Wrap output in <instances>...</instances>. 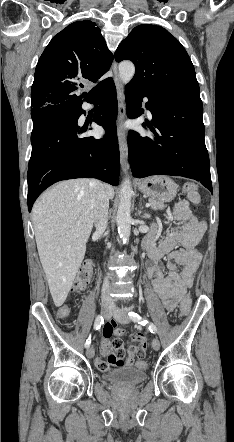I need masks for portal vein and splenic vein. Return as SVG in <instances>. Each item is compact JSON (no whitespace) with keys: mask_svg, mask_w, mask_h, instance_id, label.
<instances>
[{"mask_svg":"<svg viewBox=\"0 0 234 442\" xmlns=\"http://www.w3.org/2000/svg\"><path fill=\"white\" fill-rule=\"evenodd\" d=\"M149 206H150V203H147L146 207H149ZM77 225H80V223H77Z\"/></svg>","mask_w":234,"mask_h":442,"instance_id":"18ae733b","label":"portal vein and splenic vein"}]
</instances>
